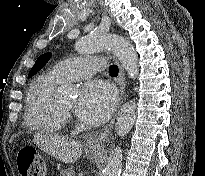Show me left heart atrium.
Wrapping results in <instances>:
<instances>
[{
	"mask_svg": "<svg viewBox=\"0 0 205 176\" xmlns=\"http://www.w3.org/2000/svg\"><path fill=\"white\" fill-rule=\"evenodd\" d=\"M116 103V93L111 85L102 81H89L80 91L76 111L92 124L104 123L111 115Z\"/></svg>",
	"mask_w": 205,
	"mask_h": 176,
	"instance_id": "39dd6f15",
	"label": "left heart atrium"
}]
</instances>
